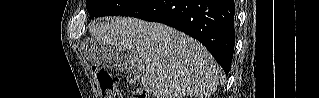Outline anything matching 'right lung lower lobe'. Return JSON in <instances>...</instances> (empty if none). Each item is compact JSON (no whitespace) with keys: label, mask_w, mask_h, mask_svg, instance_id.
<instances>
[{"label":"right lung lower lobe","mask_w":319,"mask_h":98,"mask_svg":"<svg viewBox=\"0 0 319 98\" xmlns=\"http://www.w3.org/2000/svg\"><path fill=\"white\" fill-rule=\"evenodd\" d=\"M121 16L174 27L200 41L226 74L231 69L235 45L234 0H146Z\"/></svg>","instance_id":"1"}]
</instances>
